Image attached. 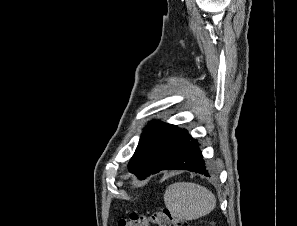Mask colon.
Returning <instances> with one entry per match:
<instances>
[{"mask_svg":"<svg viewBox=\"0 0 297 226\" xmlns=\"http://www.w3.org/2000/svg\"><path fill=\"white\" fill-rule=\"evenodd\" d=\"M117 226H189L187 221L173 216L168 210H160L151 215L130 213L117 220Z\"/></svg>","mask_w":297,"mask_h":226,"instance_id":"5ec220e1","label":"colon"}]
</instances>
